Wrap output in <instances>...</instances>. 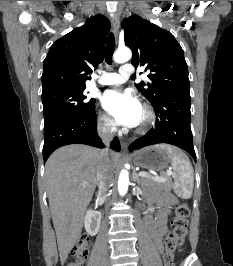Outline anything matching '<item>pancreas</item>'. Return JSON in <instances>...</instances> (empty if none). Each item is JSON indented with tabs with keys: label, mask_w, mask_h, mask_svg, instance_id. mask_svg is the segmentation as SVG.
Instances as JSON below:
<instances>
[{
	"label": "pancreas",
	"mask_w": 233,
	"mask_h": 266,
	"mask_svg": "<svg viewBox=\"0 0 233 266\" xmlns=\"http://www.w3.org/2000/svg\"><path fill=\"white\" fill-rule=\"evenodd\" d=\"M141 184L143 186H152V187H156V188H160V187H170L169 183L164 181V182H157L154 181L151 178L148 177H142L141 178Z\"/></svg>",
	"instance_id": "cf45deb5"
}]
</instances>
